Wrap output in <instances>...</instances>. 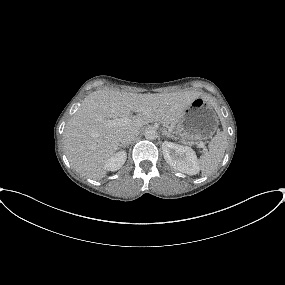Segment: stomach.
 <instances>
[{"mask_svg": "<svg viewBox=\"0 0 285 285\" xmlns=\"http://www.w3.org/2000/svg\"><path fill=\"white\" fill-rule=\"evenodd\" d=\"M219 121L214 107L204 98L194 100L176 121V133L186 140H206L213 136Z\"/></svg>", "mask_w": 285, "mask_h": 285, "instance_id": "0dacf381", "label": "stomach"}]
</instances>
